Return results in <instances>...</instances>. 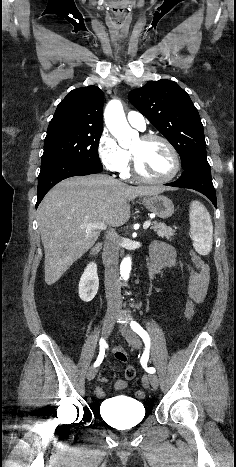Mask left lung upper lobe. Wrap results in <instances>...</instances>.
Returning <instances> with one entry per match:
<instances>
[{
  "mask_svg": "<svg viewBox=\"0 0 236 467\" xmlns=\"http://www.w3.org/2000/svg\"><path fill=\"white\" fill-rule=\"evenodd\" d=\"M132 105L173 145L182 168L206 159V142L200 116L189 95L175 82L150 81L128 94Z\"/></svg>",
  "mask_w": 236,
  "mask_h": 467,
  "instance_id": "obj_1",
  "label": "left lung upper lobe"
}]
</instances>
